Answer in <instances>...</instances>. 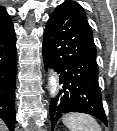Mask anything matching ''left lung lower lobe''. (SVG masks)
<instances>
[{
  "mask_svg": "<svg viewBox=\"0 0 117 131\" xmlns=\"http://www.w3.org/2000/svg\"><path fill=\"white\" fill-rule=\"evenodd\" d=\"M43 60L45 68H54L60 74L62 84L50 102L52 126L69 112L90 114L107 125L93 37L69 1L57 6L50 15L44 31Z\"/></svg>",
  "mask_w": 117,
  "mask_h": 131,
  "instance_id": "1",
  "label": "left lung lower lobe"
}]
</instances>
